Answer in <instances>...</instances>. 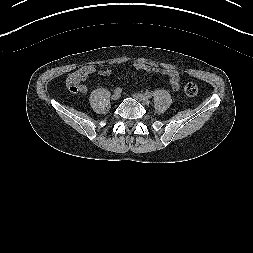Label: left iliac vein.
Masks as SVG:
<instances>
[{
  "instance_id": "1",
  "label": "left iliac vein",
  "mask_w": 253,
  "mask_h": 253,
  "mask_svg": "<svg viewBox=\"0 0 253 253\" xmlns=\"http://www.w3.org/2000/svg\"><path fill=\"white\" fill-rule=\"evenodd\" d=\"M133 96L139 102H142V103H145V104H149V98L147 96H145L143 94H140V93H134Z\"/></svg>"
}]
</instances>
